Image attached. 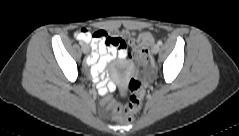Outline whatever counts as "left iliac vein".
Returning a JSON list of instances; mask_svg holds the SVG:
<instances>
[{"instance_id":"left-iliac-vein-1","label":"left iliac vein","mask_w":239,"mask_h":136,"mask_svg":"<svg viewBox=\"0 0 239 136\" xmlns=\"http://www.w3.org/2000/svg\"><path fill=\"white\" fill-rule=\"evenodd\" d=\"M159 49H160L159 45H158V44H154V45L152 46V48H151V52H152L153 54H157V53L159 52Z\"/></svg>"}]
</instances>
